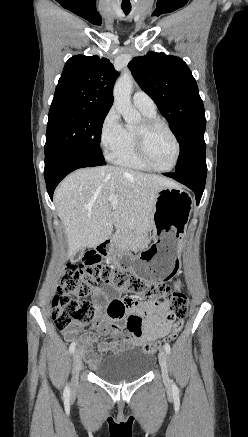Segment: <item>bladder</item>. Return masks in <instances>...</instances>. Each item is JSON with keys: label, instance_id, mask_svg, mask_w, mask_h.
<instances>
[{"label": "bladder", "instance_id": "bladder-1", "mask_svg": "<svg viewBox=\"0 0 248 437\" xmlns=\"http://www.w3.org/2000/svg\"><path fill=\"white\" fill-rule=\"evenodd\" d=\"M154 362L151 353L130 349L106 359L95 374L111 384L132 382L144 377Z\"/></svg>", "mask_w": 248, "mask_h": 437}]
</instances>
